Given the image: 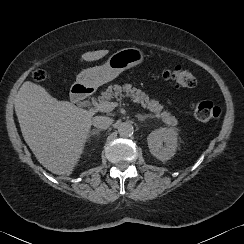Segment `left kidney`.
<instances>
[{
  "label": "left kidney",
  "instance_id": "5707ae66",
  "mask_svg": "<svg viewBox=\"0 0 244 244\" xmlns=\"http://www.w3.org/2000/svg\"><path fill=\"white\" fill-rule=\"evenodd\" d=\"M178 130L174 128H159L152 131L148 137L150 153L160 161L171 159L178 147Z\"/></svg>",
  "mask_w": 244,
  "mask_h": 244
}]
</instances>
